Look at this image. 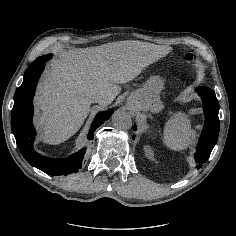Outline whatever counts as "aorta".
I'll return each mask as SVG.
<instances>
[{"instance_id": "762f6f07", "label": "aorta", "mask_w": 236, "mask_h": 236, "mask_svg": "<svg viewBox=\"0 0 236 236\" xmlns=\"http://www.w3.org/2000/svg\"><path fill=\"white\" fill-rule=\"evenodd\" d=\"M112 123L117 129H129L132 127L131 115L124 110H117L112 116Z\"/></svg>"}]
</instances>
